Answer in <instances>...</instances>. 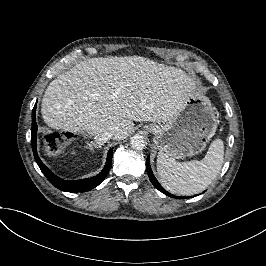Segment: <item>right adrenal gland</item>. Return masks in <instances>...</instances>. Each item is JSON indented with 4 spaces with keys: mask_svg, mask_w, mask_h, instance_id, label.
I'll return each mask as SVG.
<instances>
[{
    "mask_svg": "<svg viewBox=\"0 0 266 266\" xmlns=\"http://www.w3.org/2000/svg\"><path fill=\"white\" fill-rule=\"evenodd\" d=\"M87 145L89 146V150L93 151V147H96L98 150L100 149V145H97L95 142H87Z\"/></svg>",
    "mask_w": 266,
    "mask_h": 266,
    "instance_id": "right-adrenal-gland-1",
    "label": "right adrenal gland"
}]
</instances>
